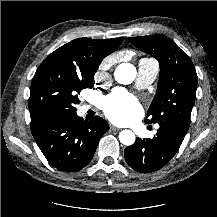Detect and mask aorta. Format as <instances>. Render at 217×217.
<instances>
[{"label": "aorta", "instance_id": "obj_1", "mask_svg": "<svg viewBox=\"0 0 217 217\" xmlns=\"http://www.w3.org/2000/svg\"><path fill=\"white\" fill-rule=\"evenodd\" d=\"M114 77L120 84H130L136 77V68L130 63H122L116 67ZM119 140L122 144L130 146L135 142V134L128 129L122 130L119 134Z\"/></svg>", "mask_w": 217, "mask_h": 217}]
</instances>
